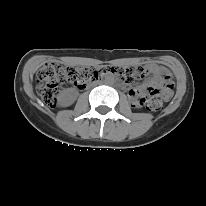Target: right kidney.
I'll return each instance as SVG.
<instances>
[{
  "mask_svg": "<svg viewBox=\"0 0 206 206\" xmlns=\"http://www.w3.org/2000/svg\"><path fill=\"white\" fill-rule=\"evenodd\" d=\"M60 102H61V104L62 105H69L70 103H71V101L70 100H68L67 98H62L61 100H60Z\"/></svg>",
  "mask_w": 206,
  "mask_h": 206,
  "instance_id": "1",
  "label": "right kidney"
}]
</instances>
